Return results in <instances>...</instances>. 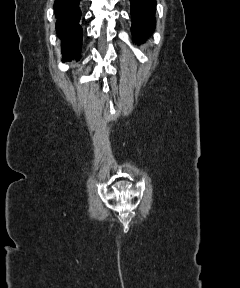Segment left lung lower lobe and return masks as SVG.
Wrapping results in <instances>:
<instances>
[{"label": "left lung lower lobe", "mask_w": 240, "mask_h": 288, "mask_svg": "<svg viewBox=\"0 0 240 288\" xmlns=\"http://www.w3.org/2000/svg\"><path fill=\"white\" fill-rule=\"evenodd\" d=\"M133 40L142 43L155 28L156 0H130Z\"/></svg>", "instance_id": "0a47b994"}]
</instances>
